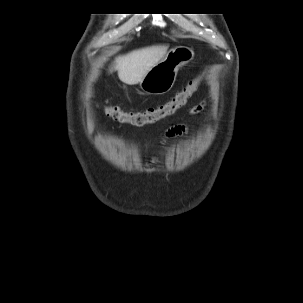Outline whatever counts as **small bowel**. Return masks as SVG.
<instances>
[{
    "label": "small bowel",
    "instance_id": "1",
    "mask_svg": "<svg viewBox=\"0 0 303 303\" xmlns=\"http://www.w3.org/2000/svg\"><path fill=\"white\" fill-rule=\"evenodd\" d=\"M201 108L198 107L195 110L198 111ZM184 131V126L183 125H174L172 127H170L168 129V131L166 132L165 137L161 140V146L164 148V150L168 151V147H167V138L170 137H175V136H181L183 134ZM182 146L184 145L183 142L180 143Z\"/></svg>",
    "mask_w": 303,
    "mask_h": 303
}]
</instances>
